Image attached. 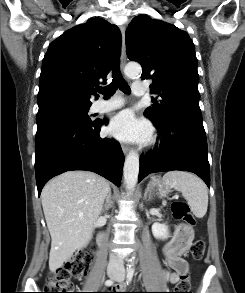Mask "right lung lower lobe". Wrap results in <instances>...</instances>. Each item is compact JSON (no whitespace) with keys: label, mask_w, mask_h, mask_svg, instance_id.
<instances>
[{"label":"right lung lower lobe","mask_w":245,"mask_h":293,"mask_svg":"<svg viewBox=\"0 0 245 293\" xmlns=\"http://www.w3.org/2000/svg\"><path fill=\"white\" fill-rule=\"evenodd\" d=\"M107 120L57 127L39 139L35 146V174L40 196L52 177L71 170L95 172L120 186L124 154L115 140L101 138Z\"/></svg>","instance_id":"1"}]
</instances>
